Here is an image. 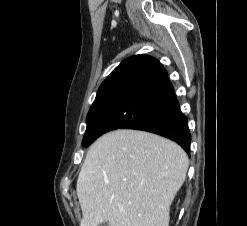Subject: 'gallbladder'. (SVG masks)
Listing matches in <instances>:
<instances>
[{
  "label": "gallbladder",
  "instance_id": "1",
  "mask_svg": "<svg viewBox=\"0 0 247 226\" xmlns=\"http://www.w3.org/2000/svg\"><path fill=\"white\" fill-rule=\"evenodd\" d=\"M99 226H109L108 222H103L102 224H100Z\"/></svg>",
  "mask_w": 247,
  "mask_h": 226
}]
</instances>
